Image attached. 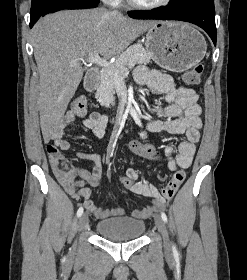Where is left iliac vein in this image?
<instances>
[{
    "label": "left iliac vein",
    "instance_id": "1",
    "mask_svg": "<svg viewBox=\"0 0 247 280\" xmlns=\"http://www.w3.org/2000/svg\"><path fill=\"white\" fill-rule=\"evenodd\" d=\"M155 224L158 228V231L161 233L162 237H163V243H164V247L167 251L171 250V243H170V239L168 236V232L165 226V223L163 221V219L156 215L155 216Z\"/></svg>",
    "mask_w": 247,
    "mask_h": 280
}]
</instances>
